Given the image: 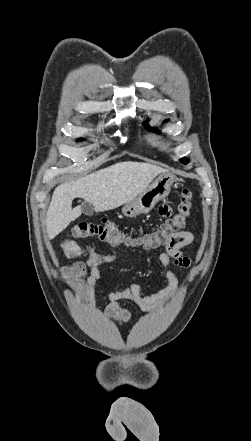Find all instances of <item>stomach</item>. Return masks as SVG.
<instances>
[{"label":"stomach","instance_id":"obj_1","mask_svg":"<svg viewBox=\"0 0 251 441\" xmlns=\"http://www.w3.org/2000/svg\"><path fill=\"white\" fill-rule=\"evenodd\" d=\"M176 180V176L170 172L161 173L146 190L124 204L122 213L128 218L147 214L159 201L168 196Z\"/></svg>","mask_w":251,"mask_h":441}]
</instances>
